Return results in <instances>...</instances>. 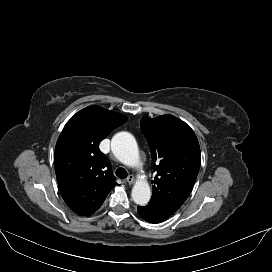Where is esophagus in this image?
Masks as SVG:
<instances>
[{
	"label": "esophagus",
	"mask_w": 272,
	"mask_h": 272,
	"mask_svg": "<svg viewBox=\"0 0 272 272\" xmlns=\"http://www.w3.org/2000/svg\"><path fill=\"white\" fill-rule=\"evenodd\" d=\"M134 180H135V178H134L133 175H129L127 177V179H126V181L128 182V184H130V185L134 183Z\"/></svg>",
	"instance_id": "34e87169"
}]
</instances>
